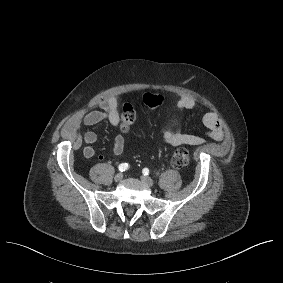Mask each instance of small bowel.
I'll return each mask as SVG.
<instances>
[{
    "label": "small bowel",
    "instance_id": "small-bowel-1",
    "mask_svg": "<svg viewBox=\"0 0 283 283\" xmlns=\"http://www.w3.org/2000/svg\"><path fill=\"white\" fill-rule=\"evenodd\" d=\"M196 105L194 98L180 94L176 102V107L181 111L192 110ZM103 121H108L114 128L117 129L113 137L112 153L120 155L125 146V139L120 132V116L118 112V104L115 98H105L99 102V109L90 111L81 117H75L66 125V132L70 137H76L77 131L81 124L88 126L96 125ZM203 125L207 128L206 135L216 141H222L224 138V122L220 115L216 112H207L202 119ZM162 139L165 143L172 146L179 145H200L204 143V138L192 133H185L178 128L169 129L163 132ZM97 141V135L93 131H87L83 137H78L76 144L83 148V154L86 158L95 156V149L93 144ZM102 159V156H100Z\"/></svg>",
    "mask_w": 283,
    "mask_h": 283
}]
</instances>
